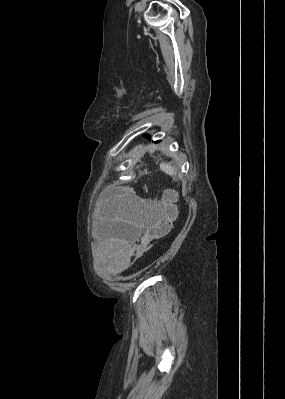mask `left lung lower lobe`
<instances>
[{
	"label": "left lung lower lobe",
	"mask_w": 285,
	"mask_h": 399,
	"mask_svg": "<svg viewBox=\"0 0 285 399\" xmlns=\"http://www.w3.org/2000/svg\"><path fill=\"white\" fill-rule=\"evenodd\" d=\"M148 139H150V136L149 135H145Z\"/></svg>",
	"instance_id": "obj_1"
}]
</instances>
